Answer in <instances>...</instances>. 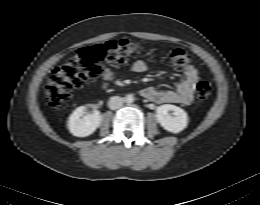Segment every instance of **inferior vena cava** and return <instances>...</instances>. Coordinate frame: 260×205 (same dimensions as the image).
<instances>
[{
	"label": "inferior vena cava",
	"mask_w": 260,
	"mask_h": 205,
	"mask_svg": "<svg viewBox=\"0 0 260 205\" xmlns=\"http://www.w3.org/2000/svg\"><path fill=\"white\" fill-rule=\"evenodd\" d=\"M124 99L119 96H113L108 102V106L111 110L119 109L123 106Z\"/></svg>",
	"instance_id": "inferior-vena-cava-1"
}]
</instances>
